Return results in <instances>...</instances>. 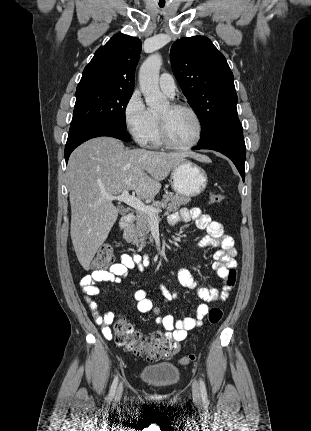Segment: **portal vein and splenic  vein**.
I'll return each instance as SVG.
<instances>
[{"label": "portal vein and splenic vein", "instance_id": "1", "mask_svg": "<svg viewBox=\"0 0 311 431\" xmlns=\"http://www.w3.org/2000/svg\"><path fill=\"white\" fill-rule=\"evenodd\" d=\"M106 200H117V202H124L127 206H131L134 210H138V212H145L150 217H158L159 212H162L161 208H151V206H146L143 204L139 198H135V196H130L128 190H124L121 196H103Z\"/></svg>", "mask_w": 311, "mask_h": 431}]
</instances>
